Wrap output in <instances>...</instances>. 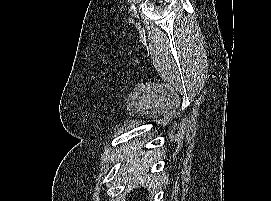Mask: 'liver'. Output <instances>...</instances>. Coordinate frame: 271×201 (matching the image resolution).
<instances>
[{"label": "liver", "mask_w": 271, "mask_h": 201, "mask_svg": "<svg viewBox=\"0 0 271 201\" xmlns=\"http://www.w3.org/2000/svg\"><path fill=\"white\" fill-rule=\"evenodd\" d=\"M143 146V143L140 145L133 144L127 145L123 147V152L125 156L130 157L126 164L123 166L121 172L125 176H130L134 182L140 183V185L144 186L146 182H149V176L146 174L149 166L152 165V162L147 159L149 154L144 153V158H139V155H143V153L138 151Z\"/></svg>", "instance_id": "6515ba94"}]
</instances>
